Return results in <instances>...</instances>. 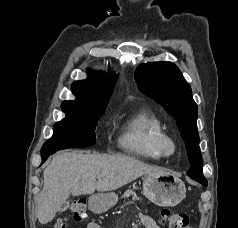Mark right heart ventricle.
Segmentation results:
<instances>
[{
    "label": "right heart ventricle",
    "mask_w": 238,
    "mask_h": 228,
    "mask_svg": "<svg viewBox=\"0 0 238 228\" xmlns=\"http://www.w3.org/2000/svg\"><path fill=\"white\" fill-rule=\"evenodd\" d=\"M164 133L161 119L151 110L139 108L123 121L119 147L128 154L160 161L165 157L159 148Z\"/></svg>",
    "instance_id": "1"
}]
</instances>
